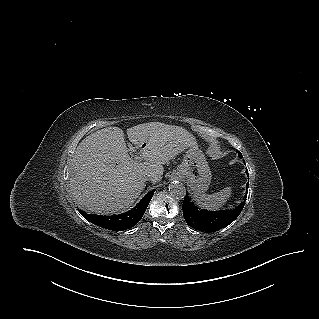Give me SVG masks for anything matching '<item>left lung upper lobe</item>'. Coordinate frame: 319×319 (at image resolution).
I'll return each mask as SVG.
<instances>
[{
  "label": "left lung upper lobe",
  "mask_w": 319,
  "mask_h": 319,
  "mask_svg": "<svg viewBox=\"0 0 319 319\" xmlns=\"http://www.w3.org/2000/svg\"><path fill=\"white\" fill-rule=\"evenodd\" d=\"M238 155H239L240 158H242V154L240 152H238Z\"/></svg>",
  "instance_id": "obj_1"
}]
</instances>
